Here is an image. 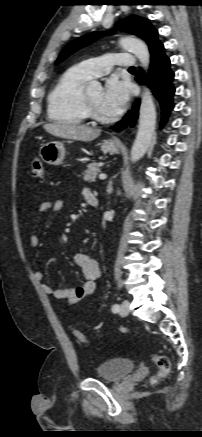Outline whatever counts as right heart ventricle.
<instances>
[{"label":"right heart ventricle","mask_w":202,"mask_h":437,"mask_svg":"<svg viewBox=\"0 0 202 437\" xmlns=\"http://www.w3.org/2000/svg\"><path fill=\"white\" fill-rule=\"evenodd\" d=\"M88 78L75 66L64 72L47 98L50 120L66 124H82L87 114L82 104V85Z\"/></svg>","instance_id":"e07e8e85"}]
</instances>
